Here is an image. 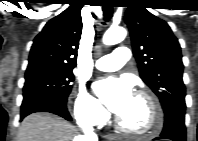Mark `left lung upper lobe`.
Instances as JSON below:
<instances>
[{"label":"left lung upper lobe","mask_w":198,"mask_h":141,"mask_svg":"<svg viewBox=\"0 0 198 141\" xmlns=\"http://www.w3.org/2000/svg\"><path fill=\"white\" fill-rule=\"evenodd\" d=\"M144 5L141 0L131 3L125 22L140 76L159 97L166 112L174 105L185 104L181 48L169 25L147 11Z\"/></svg>","instance_id":"obj_1"}]
</instances>
